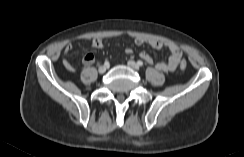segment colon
<instances>
[{"label": "colon", "mask_w": 244, "mask_h": 157, "mask_svg": "<svg viewBox=\"0 0 244 157\" xmlns=\"http://www.w3.org/2000/svg\"><path fill=\"white\" fill-rule=\"evenodd\" d=\"M186 66H187L186 61H185V60H182V61L180 62V68H181V69H185ZM69 70L73 71V70H75V67H74L73 65H70Z\"/></svg>", "instance_id": "obj_1"}]
</instances>
